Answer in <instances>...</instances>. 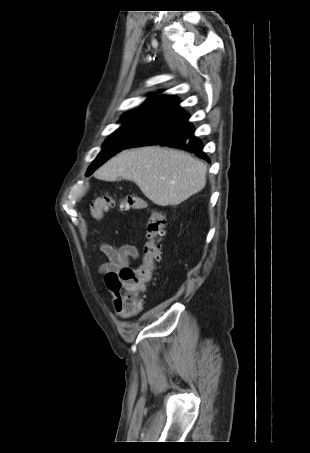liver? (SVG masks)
I'll list each match as a JSON object with an SVG mask.
<instances>
[{
    "instance_id": "obj_1",
    "label": "liver",
    "mask_w": 310,
    "mask_h": 453,
    "mask_svg": "<svg viewBox=\"0 0 310 453\" xmlns=\"http://www.w3.org/2000/svg\"><path fill=\"white\" fill-rule=\"evenodd\" d=\"M206 173V165L186 152L147 146L120 152L94 176L111 182L134 181L154 204L175 206L205 187Z\"/></svg>"
}]
</instances>
